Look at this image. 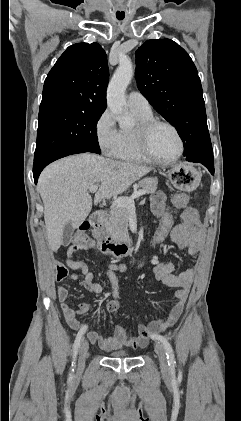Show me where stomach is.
Returning <instances> with one entry per match:
<instances>
[{
  "instance_id": "1",
  "label": "stomach",
  "mask_w": 241,
  "mask_h": 421,
  "mask_svg": "<svg viewBox=\"0 0 241 421\" xmlns=\"http://www.w3.org/2000/svg\"><path fill=\"white\" fill-rule=\"evenodd\" d=\"M167 173L170 182L183 191H193L201 181L200 172L187 163L176 164Z\"/></svg>"
}]
</instances>
